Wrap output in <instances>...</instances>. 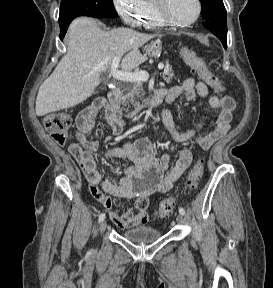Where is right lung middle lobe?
Segmentation results:
<instances>
[{"label":"right lung middle lobe","instance_id":"right-lung-middle-lobe-1","mask_svg":"<svg viewBox=\"0 0 273 288\" xmlns=\"http://www.w3.org/2000/svg\"><path fill=\"white\" fill-rule=\"evenodd\" d=\"M112 0H61L59 24L79 16L117 17Z\"/></svg>","mask_w":273,"mask_h":288}]
</instances>
